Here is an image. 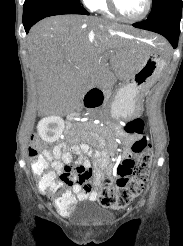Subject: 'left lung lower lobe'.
<instances>
[{"label": "left lung lower lobe", "instance_id": "obj_1", "mask_svg": "<svg viewBox=\"0 0 183 246\" xmlns=\"http://www.w3.org/2000/svg\"><path fill=\"white\" fill-rule=\"evenodd\" d=\"M182 0L171 2L164 9L146 20L134 23L136 28L149 30L163 35L176 48L180 34Z\"/></svg>", "mask_w": 183, "mask_h": 246}]
</instances>
